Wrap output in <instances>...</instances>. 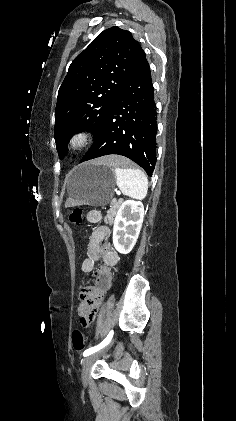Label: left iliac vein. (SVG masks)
Segmentation results:
<instances>
[{"label": "left iliac vein", "instance_id": "4c4485c4", "mask_svg": "<svg viewBox=\"0 0 236 421\" xmlns=\"http://www.w3.org/2000/svg\"><path fill=\"white\" fill-rule=\"evenodd\" d=\"M110 348V346H107L106 349L99 351L97 353L91 354L87 357L84 358L83 360V366H82V379L83 382L88 380V376H89V370L91 367V364L95 361L96 358L100 357L101 355H103L104 353H106V351Z\"/></svg>", "mask_w": 236, "mask_h": 421}]
</instances>
